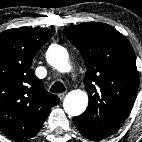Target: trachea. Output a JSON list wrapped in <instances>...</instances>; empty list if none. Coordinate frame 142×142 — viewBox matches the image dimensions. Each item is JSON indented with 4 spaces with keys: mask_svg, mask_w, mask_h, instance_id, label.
I'll list each match as a JSON object with an SVG mask.
<instances>
[{
    "mask_svg": "<svg viewBox=\"0 0 142 142\" xmlns=\"http://www.w3.org/2000/svg\"><path fill=\"white\" fill-rule=\"evenodd\" d=\"M65 90V86L59 81L55 82L50 88V92L52 93H62Z\"/></svg>",
    "mask_w": 142,
    "mask_h": 142,
    "instance_id": "3493384b",
    "label": "trachea"
}]
</instances>
